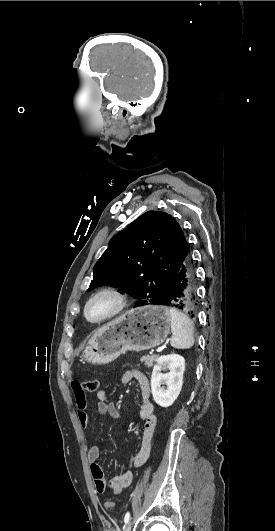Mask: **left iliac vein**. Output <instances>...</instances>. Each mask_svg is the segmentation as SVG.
Here are the masks:
<instances>
[{
    "label": "left iliac vein",
    "mask_w": 275,
    "mask_h": 531,
    "mask_svg": "<svg viewBox=\"0 0 275 531\" xmlns=\"http://www.w3.org/2000/svg\"><path fill=\"white\" fill-rule=\"evenodd\" d=\"M132 529V523L129 522L126 524V526L124 527L123 531H131Z\"/></svg>",
    "instance_id": "4c4485c4"
}]
</instances>
